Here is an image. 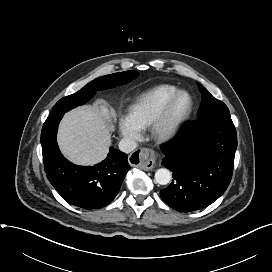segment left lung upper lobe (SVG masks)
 <instances>
[{"label":"left lung upper lobe","mask_w":272,"mask_h":272,"mask_svg":"<svg viewBox=\"0 0 272 272\" xmlns=\"http://www.w3.org/2000/svg\"><path fill=\"white\" fill-rule=\"evenodd\" d=\"M197 86L202 94V102L197 114L198 119L221 113H229V109L222 101L214 98L199 83H197Z\"/></svg>","instance_id":"left-lung-upper-lobe-1"}]
</instances>
